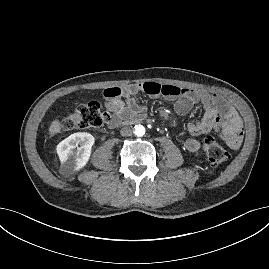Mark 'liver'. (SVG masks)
Listing matches in <instances>:
<instances>
[{"mask_svg": "<svg viewBox=\"0 0 269 269\" xmlns=\"http://www.w3.org/2000/svg\"><path fill=\"white\" fill-rule=\"evenodd\" d=\"M62 129V124L59 120L55 119L49 126V134L50 136H54L57 133H60Z\"/></svg>", "mask_w": 269, "mask_h": 269, "instance_id": "liver-1", "label": "liver"}]
</instances>
